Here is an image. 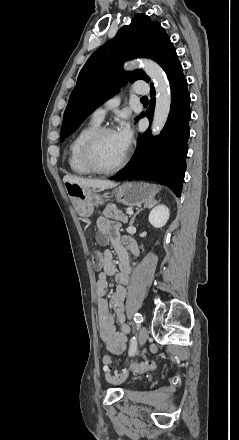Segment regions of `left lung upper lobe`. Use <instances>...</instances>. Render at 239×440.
I'll list each match as a JSON object with an SVG mask.
<instances>
[{"label":"left lung upper lobe","mask_w":239,"mask_h":440,"mask_svg":"<svg viewBox=\"0 0 239 440\" xmlns=\"http://www.w3.org/2000/svg\"><path fill=\"white\" fill-rule=\"evenodd\" d=\"M172 48L167 33L158 22L151 21L145 14L135 15L130 25L123 26L82 67L65 109L60 139L73 133L92 111L128 81H150L140 69L123 72L121 67L125 61L145 57L162 67Z\"/></svg>","instance_id":"obj_1"}]
</instances>
